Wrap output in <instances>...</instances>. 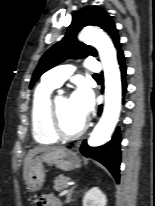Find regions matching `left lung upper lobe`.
I'll list each match as a JSON object with an SVG mask.
<instances>
[{
  "mask_svg": "<svg viewBox=\"0 0 155 206\" xmlns=\"http://www.w3.org/2000/svg\"><path fill=\"white\" fill-rule=\"evenodd\" d=\"M95 25L106 31L113 40L115 47L120 46L118 31L111 16L97 6L86 7L72 16V22L67 29L65 38L52 46L41 58L31 79L30 88L39 77L49 69L67 58L81 59L88 55L97 56V51L76 39L78 32L85 26Z\"/></svg>",
  "mask_w": 155,
  "mask_h": 206,
  "instance_id": "left-lung-upper-lobe-1",
  "label": "left lung upper lobe"
}]
</instances>
